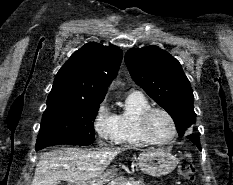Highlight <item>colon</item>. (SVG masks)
I'll return each mask as SVG.
<instances>
[{"mask_svg":"<svg viewBox=\"0 0 233 185\" xmlns=\"http://www.w3.org/2000/svg\"><path fill=\"white\" fill-rule=\"evenodd\" d=\"M178 173L183 178H191L194 173L192 156L189 152L184 153L178 160Z\"/></svg>","mask_w":233,"mask_h":185,"instance_id":"colon-1","label":"colon"}]
</instances>
